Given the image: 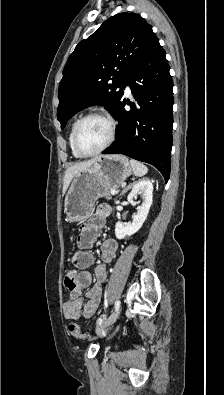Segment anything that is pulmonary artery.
<instances>
[{
  "instance_id": "e3ab8cb5",
  "label": "pulmonary artery",
  "mask_w": 224,
  "mask_h": 395,
  "mask_svg": "<svg viewBox=\"0 0 224 395\" xmlns=\"http://www.w3.org/2000/svg\"><path fill=\"white\" fill-rule=\"evenodd\" d=\"M125 93H126V95H130L131 94V89H130V87L128 85H126V87H125Z\"/></svg>"
}]
</instances>
